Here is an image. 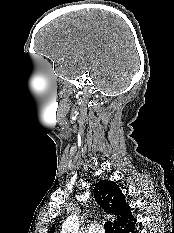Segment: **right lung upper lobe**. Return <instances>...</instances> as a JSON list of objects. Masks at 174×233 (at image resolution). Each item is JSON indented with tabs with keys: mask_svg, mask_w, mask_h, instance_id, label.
Returning <instances> with one entry per match:
<instances>
[{
	"mask_svg": "<svg viewBox=\"0 0 174 233\" xmlns=\"http://www.w3.org/2000/svg\"><path fill=\"white\" fill-rule=\"evenodd\" d=\"M95 201L103 208L104 212L115 216V233H122L136 223L131 214V209L125 200L119 186L113 181L100 180L94 186ZM53 225L49 233H54Z\"/></svg>",
	"mask_w": 174,
	"mask_h": 233,
	"instance_id": "right-lung-upper-lobe-1",
	"label": "right lung upper lobe"
}]
</instances>
